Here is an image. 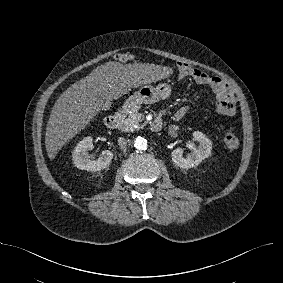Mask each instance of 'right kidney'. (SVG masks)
Wrapping results in <instances>:
<instances>
[{
    "instance_id": "ca27d5eb",
    "label": "right kidney",
    "mask_w": 283,
    "mask_h": 283,
    "mask_svg": "<svg viewBox=\"0 0 283 283\" xmlns=\"http://www.w3.org/2000/svg\"><path fill=\"white\" fill-rule=\"evenodd\" d=\"M91 137H86L80 141L72 152L73 164L80 170L91 172L105 169L111 163L113 153L110 150H103L97 160H91L88 151L94 148Z\"/></svg>"
}]
</instances>
